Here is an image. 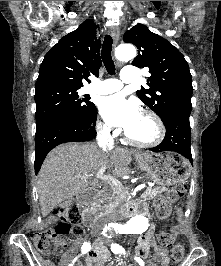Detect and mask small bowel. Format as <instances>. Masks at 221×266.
<instances>
[{
	"label": "small bowel",
	"mask_w": 221,
	"mask_h": 266,
	"mask_svg": "<svg viewBox=\"0 0 221 266\" xmlns=\"http://www.w3.org/2000/svg\"><path fill=\"white\" fill-rule=\"evenodd\" d=\"M140 215L146 217L145 213H141ZM151 242H154V239L152 236L151 228H149L138 239V244L136 247L137 255L141 257H146L149 253V246ZM153 261L160 264L161 266H167V264L169 263L168 249L154 243ZM86 263L87 266H101L103 264H106V266H111L113 264L110 258V254L106 250H100V249L91 251L86 258ZM77 266H81V264L78 263Z\"/></svg>",
	"instance_id": "obj_1"
}]
</instances>
